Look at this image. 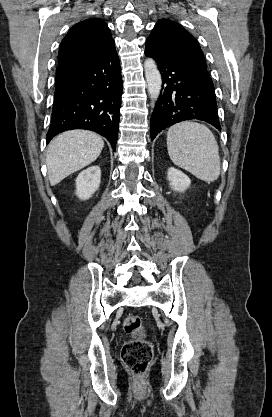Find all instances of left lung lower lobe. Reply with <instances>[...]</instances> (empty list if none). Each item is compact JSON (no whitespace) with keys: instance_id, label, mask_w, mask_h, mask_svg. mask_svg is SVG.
I'll return each mask as SVG.
<instances>
[{"instance_id":"0a47b994","label":"left lung lower lobe","mask_w":272,"mask_h":417,"mask_svg":"<svg viewBox=\"0 0 272 417\" xmlns=\"http://www.w3.org/2000/svg\"><path fill=\"white\" fill-rule=\"evenodd\" d=\"M153 57L161 71L163 88L150 120L151 138L186 120H202L221 129L215 89L204 65L172 56Z\"/></svg>"}]
</instances>
